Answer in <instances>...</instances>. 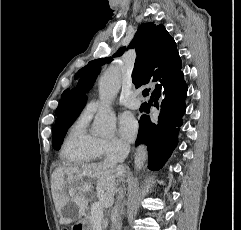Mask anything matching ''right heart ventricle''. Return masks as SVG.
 I'll list each match as a JSON object with an SVG mask.
<instances>
[{
  "mask_svg": "<svg viewBox=\"0 0 241 230\" xmlns=\"http://www.w3.org/2000/svg\"><path fill=\"white\" fill-rule=\"evenodd\" d=\"M93 113L83 111L68 129L61 156L67 164H86L98 159L100 139L91 134L88 125Z\"/></svg>",
  "mask_w": 241,
  "mask_h": 230,
  "instance_id": "e07e8e85",
  "label": "right heart ventricle"
}]
</instances>
